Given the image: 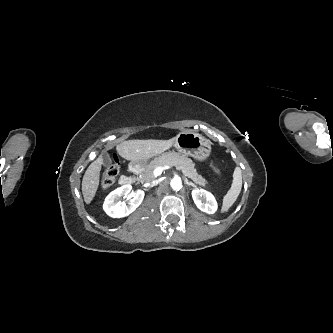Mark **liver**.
<instances>
[{
  "label": "liver",
  "mask_w": 333,
  "mask_h": 333,
  "mask_svg": "<svg viewBox=\"0 0 333 333\" xmlns=\"http://www.w3.org/2000/svg\"><path fill=\"white\" fill-rule=\"evenodd\" d=\"M174 145V138L169 140H128L116 146L118 154L133 162L147 161L157 156ZM103 164L102 157L92 162L82 179V194L86 204H90L99 186L100 170Z\"/></svg>",
  "instance_id": "1"
}]
</instances>
